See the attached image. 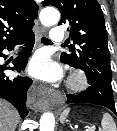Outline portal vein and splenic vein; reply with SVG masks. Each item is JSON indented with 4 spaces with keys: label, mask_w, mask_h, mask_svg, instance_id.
Listing matches in <instances>:
<instances>
[{
    "label": "portal vein and splenic vein",
    "mask_w": 117,
    "mask_h": 131,
    "mask_svg": "<svg viewBox=\"0 0 117 131\" xmlns=\"http://www.w3.org/2000/svg\"><path fill=\"white\" fill-rule=\"evenodd\" d=\"M75 128H77V127H75ZM88 130L92 131V130H93V128H92V127H90L89 129H87V131H88Z\"/></svg>",
    "instance_id": "obj_1"
}]
</instances>
